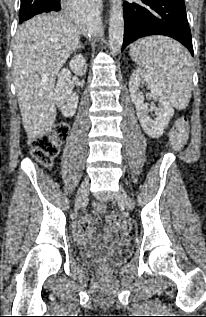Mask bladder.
<instances>
[{
	"label": "bladder",
	"instance_id": "obj_1",
	"mask_svg": "<svg viewBox=\"0 0 206 317\" xmlns=\"http://www.w3.org/2000/svg\"><path fill=\"white\" fill-rule=\"evenodd\" d=\"M124 253V247L116 246L108 240L98 239L93 243L79 248L77 256L79 259L89 260L103 256H118Z\"/></svg>",
	"mask_w": 206,
	"mask_h": 317
}]
</instances>
